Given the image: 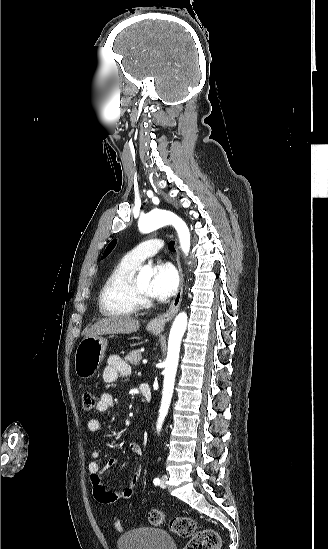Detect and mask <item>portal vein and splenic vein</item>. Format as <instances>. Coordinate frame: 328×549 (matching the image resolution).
<instances>
[{"label":"portal vein and splenic vein","instance_id":"portal-vein-and-splenic-vein-1","mask_svg":"<svg viewBox=\"0 0 328 549\" xmlns=\"http://www.w3.org/2000/svg\"><path fill=\"white\" fill-rule=\"evenodd\" d=\"M147 358H143L142 364H146Z\"/></svg>","mask_w":328,"mask_h":549}]
</instances>
